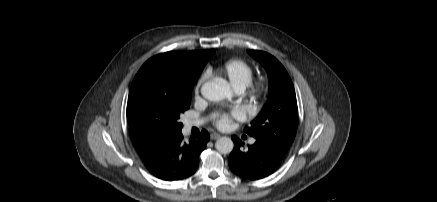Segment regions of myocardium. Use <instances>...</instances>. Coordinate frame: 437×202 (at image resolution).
Returning a JSON list of instances; mask_svg holds the SVG:
<instances>
[{"instance_id":"1","label":"myocardium","mask_w":437,"mask_h":202,"mask_svg":"<svg viewBox=\"0 0 437 202\" xmlns=\"http://www.w3.org/2000/svg\"><path fill=\"white\" fill-rule=\"evenodd\" d=\"M250 95L258 98L263 96L268 90V83L265 79L252 80L246 87Z\"/></svg>"}]
</instances>
